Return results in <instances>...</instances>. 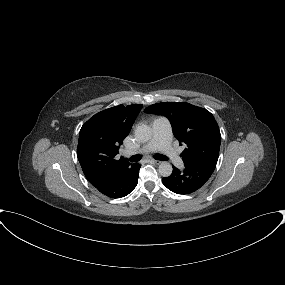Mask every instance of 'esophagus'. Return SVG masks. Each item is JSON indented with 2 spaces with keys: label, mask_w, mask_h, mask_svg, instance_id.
<instances>
[{
  "label": "esophagus",
  "mask_w": 285,
  "mask_h": 285,
  "mask_svg": "<svg viewBox=\"0 0 285 285\" xmlns=\"http://www.w3.org/2000/svg\"><path fill=\"white\" fill-rule=\"evenodd\" d=\"M151 161H152L153 163H155V164H160V163H161V161L155 160V159H152Z\"/></svg>",
  "instance_id": "obj_1"
}]
</instances>
